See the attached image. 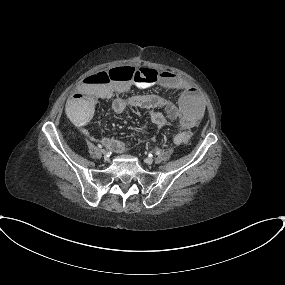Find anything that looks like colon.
Wrapping results in <instances>:
<instances>
[{"label":"colon","mask_w":285,"mask_h":285,"mask_svg":"<svg viewBox=\"0 0 285 285\" xmlns=\"http://www.w3.org/2000/svg\"><path fill=\"white\" fill-rule=\"evenodd\" d=\"M109 77L129 83H137L140 81L152 82L157 80L158 73L153 69L124 66L122 68H114L110 70ZM87 78L88 80H93L101 84H106L109 82V79L105 75L94 77V74H89L87 75ZM177 138L180 143H186L189 140L188 136L184 133H180Z\"/></svg>","instance_id":"colon-1"}]
</instances>
